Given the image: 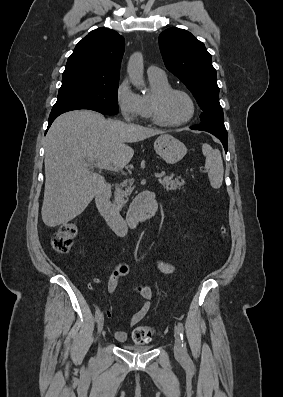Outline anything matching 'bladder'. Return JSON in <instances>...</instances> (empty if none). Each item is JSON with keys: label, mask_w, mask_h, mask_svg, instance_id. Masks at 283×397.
Wrapping results in <instances>:
<instances>
[{"label": "bladder", "mask_w": 283, "mask_h": 397, "mask_svg": "<svg viewBox=\"0 0 283 397\" xmlns=\"http://www.w3.org/2000/svg\"><path fill=\"white\" fill-rule=\"evenodd\" d=\"M124 348L127 351L134 352V353H145L150 351L153 346L152 345H146V346H140V345H125Z\"/></svg>", "instance_id": "obj_1"}]
</instances>
